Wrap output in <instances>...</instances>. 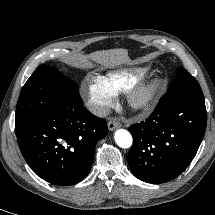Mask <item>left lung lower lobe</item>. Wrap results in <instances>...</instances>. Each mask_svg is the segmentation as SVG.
<instances>
[{"label": "left lung lower lobe", "mask_w": 215, "mask_h": 215, "mask_svg": "<svg viewBox=\"0 0 215 215\" xmlns=\"http://www.w3.org/2000/svg\"><path fill=\"white\" fill-rule=\"evenodd\" d=\"M206 123L204 97L167 92L149 118L128 128L133 175L154 184L176 178L195 157Z\"/></svg>", "instance_id": "left-lung-lower-lobe-1"}]
</instances>
